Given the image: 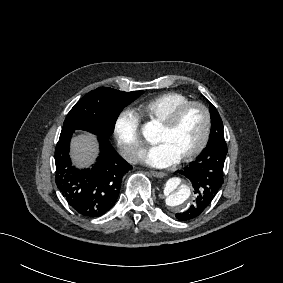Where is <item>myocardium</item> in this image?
Listing matches in <instances>:
<instances>
[{"mask_svg":"<svg viewBox=\"0 0 283 283\" xmlns=\"http://www.w3.org/2000/svg\"><path fill=\"white\" fill-rule=\"evenodd\" d=\"M191 107H198L203 113L204 123H205L204 134L202 140L197 145V147L192 151L184 154L182 157H180L178 161H189L200 155L203 152V150L207 147L210 139L211 124H212L210 111L206 105H204L199 101H189L171 110L167 114V116L160 121V125H162L166 130H172L179 121V119L181 118V116Z\"/></svg>","mask_w":283,"mask_h":283,"instance_id":"obj_1","label":"myocardium"}]
</instances>
